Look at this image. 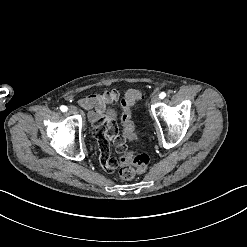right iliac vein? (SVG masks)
Wrapping results in <instances>:
<instances>
[{"label":"right iliac vein","mask_w":247,"mask_h":247,"mask_svg":"<svg viewBox=\"0 0 247 247\" xmlns=\"http://www.w3.org/2000/svg\"><path fill=\"white\" fill-rule=\"evenodd\" d=\"M69 112L74 115L78 113L77 109L74 106L69 107Z\"/></svg>","instance_id":"63e3f726"}]
</instances>
